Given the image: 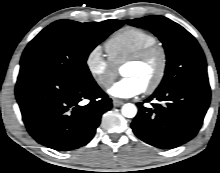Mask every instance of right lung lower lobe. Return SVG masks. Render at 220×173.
Instances as JSON below:
<instances>
[{
    "instance_id": "right-lung-lower-lobe-1",
    "label": "right lung lower lobe",
    "mask_w": 220,
    "mask_h": 173,
    "mask_svg": "<svg viewBox=\"0 0 220 173\" xmlns=\"http://www.w3.org/2000/svg\"><path fill=\"white\" fill-rule=\"evenodd\" d=\"M15 94L29 134L58 151L87 144L103 113L112 108L94 80L77 83L52 73H19ZM85 99L87 105L81 103Z\"/></svg>"
}]
</instances>
